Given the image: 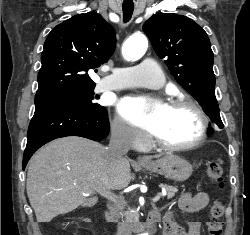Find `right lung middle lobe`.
I'll list each match as a JSON object with an SVG mask.
<instances>
[{
	"mask_svg": "<svg viewBox=\"0 0 250 235\" xmlns=\"http://www.w3.org/2000/svg\"><path fill=\"white\" fill-rule=\"evenodd\" d=\"M94 88L95 86H91L84 89L46 95L43 97L35 98V104L40 102L65 103L84 106L91 110L104 109L103 106L95 102V99L98 98L97 96H94Z\"/></svg>",
	"mask_w": 250,
	"mask_h": 235,
	"instance_id": "right-lung-middle-lobe-1",
	"label": "right lung middle lobe"
}]
</instances>
